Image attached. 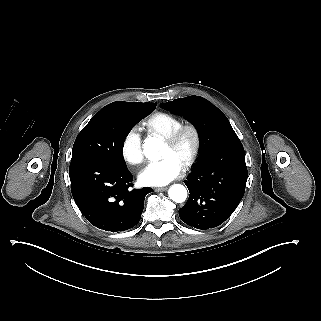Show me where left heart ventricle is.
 Listing matches in <instances>:
<instances>
[{
	"label": "left heart ventricle",
	"instance_id": "obj_1",
	"mask_svg": "<svg viewBox=\"0 0 321 321\" xmlns=\"http://www.w3.org/2000/svg\"><path fill=\"white\" fill-rule=\"evenodd\" d=\"M165 143V149H164V156H167L169 154H174L176 155L179 160L182 162L183 164V154L182 153H179V152H175L171 149V147L166 143ZM191 146V137L190 136H187L183 142V150L184 151H187Z\"/></svg>",
	"mask_w": 321,
	"mask_h": 321
}]
</instances>
